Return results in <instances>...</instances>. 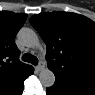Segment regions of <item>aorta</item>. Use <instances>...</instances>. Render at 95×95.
<instances>
[{
  "label": "aorta",
  "instance_id": "1",
  "mask_svg": "<svg viewBox=\"0 0 95 95\" xmlns=\"http://www.w3.org/2000/svg\"><path fill=\"white\" fill-rule=\"evenodd\" d=\"M18 39L23 45L29 48H33L39 43V38L36 32L30 28H22L18 32ZM39 79L44 87H51L55 83V75L48 68H44L40 71Z\"/></svg>",
  "mask_w": 95,
  "mask_h": 95
}]
</instances>
